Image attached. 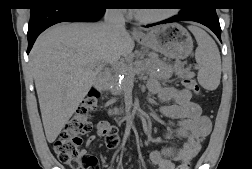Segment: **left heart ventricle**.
<instances>
[{"mask_svg": "<svg viewBox=\"0 0 252 169\" xmlns=\"http://www.w3.org/2000/svg\"><path fill=\"white\" fill-rule=\"evenodd\" d=\"M156 10L158 9H140V10H137V13L144 16H152L158 12H161V11H156Z\"/></svg>", "mask_w": 252, "mask_h": 169, "instance_id": "b2bd125f", "label": "left heart ventricle"}]
</instances>
